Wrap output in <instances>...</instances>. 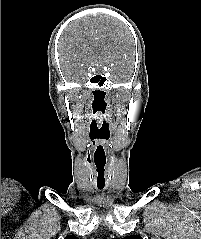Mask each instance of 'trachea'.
Masks as SVG:
<instances>
[{
	"label": "trachea",
	"mask_w": 201,
	"mask_h": 239,
	"mask_svg": "<svg viewBox=\"0 0 201 239\" xmlns=\"http://www.w3.org/2000/svg\"><path fill=\"white\" fill-rule=\"evenodd\" d=\"M98 188H99L100 190H102V189L104 188V186H98Z\"/></svg>",
	"instance_id": "obj_1"
}]
</instances>
